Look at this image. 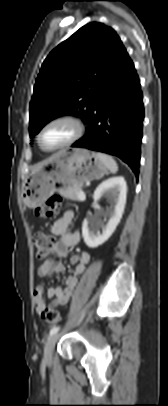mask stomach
Returning <instances> with one entry per match:
<instances>
[{
  "label": "stomach",
  "mask_w": 168,
  "mask_h": 406,
  "mask_svg": "<svg viewBox=\"0 0 168 406\" xmlns=\"http://www.w3.org/2000/svg\"><path fill=\"white\" fill-rule=\"evenodd\" d=\"M107 173V166L93 151L82 148L59 151L25 179L23 202L29 208H36L56 191L81 186Z\"/></svg>",
  "instance_id": "stomach-1"
}]
</instances>
